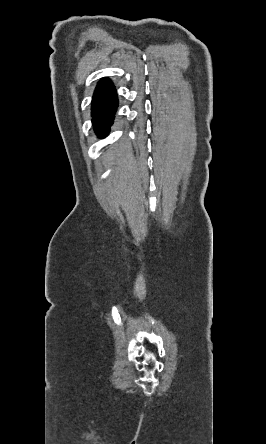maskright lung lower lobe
Segmentation results:
<instances>
[{
  "instance_id": "obj_1",
  "label": "right lung lower lobe",
  "mask_w": 266,
  "mask_h": 444,
  "mask_svg": "<svg viewBox=\"0 0 266 444\" xmlns=\"http://www.w3.org/2000/svg\"><path fill=\"white\" fill-rule=\"evenodd\" d=\"M92 121L96 134L107 136L118 106V99L113 83L103 78L99 81L92 100Z\"/></svg>"
}]
</instances>
